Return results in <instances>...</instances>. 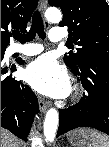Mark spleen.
<instances>
[{"label": "spleen", "mask_w": 109, "mask_h": 147, "mask_svg": "<svg viewBox=\"0 0 109 147\" xmlns=\"http://www.w3.org/2000/svg\"><path fill=\"white\" fill-rule=\"evenodd\" d=\"M94 131V133H91L90 147H109V137L104 133Z\"/></svg>", "instance_id": "3e777b00"}]
</instances>
